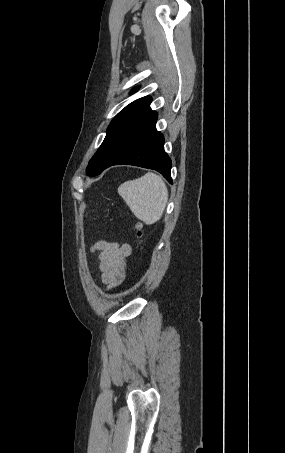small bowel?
I'll return each instance as SVG.
<instances>
[{"mask_svg":"<svg viewBox=\"0 0 285 453\" xmlns=\"http://www.w3.org/2000/svg\"><path fill=\"white\" fill-rule=\"evenodd\" d=\"M98 251V270L102 283L108 288L121 284L127 272L126 258L131 254L128 244L97 241L92 248Z\"/></svg>","mask_w":285,"mask_h":453,"instance_id":"1","label":"small bowel"}]
</instances>
